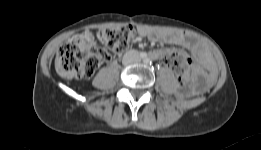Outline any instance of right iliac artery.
I'll use <instances>...</instances> for the list:
<instances>
[{
	"mask_svg": "<svg viewBox=\"0 0 261 150\" xmlns=\"http://www.w3.org/2000/svg\"><path fill=\"white\" fill-rule=\"evenodd\" d=\"M146 56H147V54H146L145 52H141V53H140V57H141V58H146Z\"/></svg>",
	"mask_w": 261,
	"mask_h": 150,
	"instance_id": "obj_1",
	"label": "right iliac artery"
}]
</instances>
